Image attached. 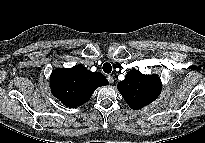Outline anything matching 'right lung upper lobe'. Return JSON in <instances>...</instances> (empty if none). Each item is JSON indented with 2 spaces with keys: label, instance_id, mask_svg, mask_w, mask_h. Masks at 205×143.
<instances>
[{
  "label": "right lung upper lobe",
  "instance_id": "obj_1",
  "mask_svg": "<svg viewBox=\"0 0 205 143\" xmlns=\"http://www.w3.org/2000/svg\"><path fill=\"white\" fill-rule=\"evenodd\" d=\"M107 84L100 72H91L81 64L55 69L50 76L52 94L69 108L88 102L96 88Z\"/></svg>",
  "mask_w": 205,
  "mask_h": 143
}]
</instances>
